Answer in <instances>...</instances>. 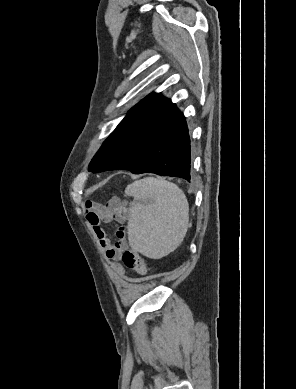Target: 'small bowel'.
<instances>
[{"instance_id":"obj_1","label":"small bowel","mask_w":296,"mask_h":389,"mask_svg":"<svg viewBox=\"0 0 296 389\" xmlns=\"http://www.w3.org/2000/svg\"><path fill=\"white\" fill-rule=\"evenodd\" d=\"M128 218V208L117 200H112L105 205L92 202L86 203V219L92 226L107 258L116 263V268L120 273L124 272L118 261L121 259L123 251L127 248L125 223ZM114 221L119 226L115 229L117 241L112 243L103 226L109 225Z\"/></svg>"}]
</instances>
